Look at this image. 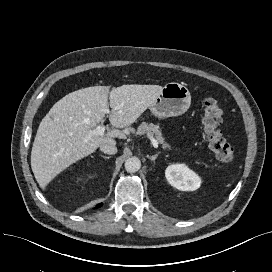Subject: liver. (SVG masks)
Returning a JSON list of instances; mask_svg holds the SVG:
<instances>
[{"label": "liver", "instance_id": "1", "mask_svg": "<svg viewBox=\"0 0 272 272\" xmlns=\"http://www.w3.org/2000/svg\"><path fill=\"white\" fill-rule=\"evenodd\" d=\"M159 85L93 86L71 92L56 102L42 119L31 151V168L41 188L73 163L105 143H115L121 131L93 133L111 107L110 123L132 125L160 95Z\"/></svg>", "mask_w": 272, "mask_h": 272}]
</instances>
